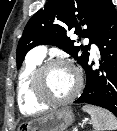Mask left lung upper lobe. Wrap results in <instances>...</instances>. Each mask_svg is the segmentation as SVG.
Instances as JSON below:
<instances>
[{
    "mask_svg": "<svg viewBox=\"0 0 117 131\" xmlns=\"http://www.w3.org/2000/svg\"><path fill=\"white\" fill-rule=\"evenodd\" d=\"M111 3V0H49L44 9L31 17L23 31L16 52L17 68H20L26 53L41 44L63 49L84 67L89 61L90 44H96ZM69 31L89 38L90 44L85 48L75 46V41L67 37Z\"/></svg>",
    "mask_w": 117,
    "mask_h": 131,
    "instance_id": "left-lung-upper-lobe-1",
    "label": "left lung upper lobe"
}]
</instances>
